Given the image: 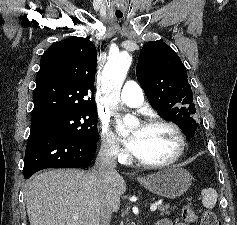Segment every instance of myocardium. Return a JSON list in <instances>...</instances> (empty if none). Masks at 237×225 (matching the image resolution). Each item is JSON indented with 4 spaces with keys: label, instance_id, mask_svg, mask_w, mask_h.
<instances>
[{
    "label": "myocardium",
    "instance_id": "f54148a6",
    "mask_svg": "<svg viewBox=\"0 0 237 225\" xmlns=\"http://www.w3.org/2000/svg\"><path fill=\"white\" fill-rule=\"evenodd\" d=\"M144 126H148V127H150V126H164V127L171 129L174 132V134L176 135V138L178 141V147H177L175 154L171 158L164 160V161L149 162V161H145L135 155V160L138 164H140L144 167H148V168H162V167H167V166L174 164L181 158V156L183 155L185 148H186V140H185V136H184L182 130L180 129V127L177 124H175L172 121L166 120V119L153 118V119L146 121L144 123Z\"/></svg>",
    "mask_w": 237,
    "mask_h": 225
}]
</instances>
